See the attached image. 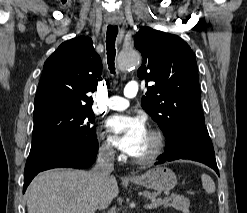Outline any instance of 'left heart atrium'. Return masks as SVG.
Segmentation results:
<instances>
[{
	"label": "left heart atrium",
	"instance_id": "39dd6f15",
	"mask_svg": "<svg viewBox=\"0 0 247 213\" xmlns=\"http://www.w3.org/2000/svg\"><path fill=\"white\" fill-rule=\"evenodd\" d=\"M107 128L116 146L131 156L140 151L148 134L140 117L116 115L108 119Z\"/></svg>",
	"mask_w": 247,
	"mask_h": 213
}]
</instances>
